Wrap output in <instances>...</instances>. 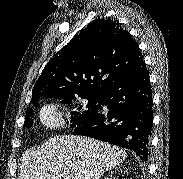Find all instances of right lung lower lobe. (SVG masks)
Returning a JSON list of instances; mask_svg holds the SVG:
<instances>
[{
  "mask_svg": "<svg viewBox=\"0 0 183 179\" xmlns=\"http://www.w3.org/2000/svg\"><path fill=\"white\" fill-rule=\"evenodd\" d=\"M99 104L108 113H97L74 135H83L133 150L147 161L153 124L152 88L145 63L133 74L107 86L99 94Z\"/></svg>",
  "mask_w": 183,
  "mask_h": 179,
  "instance_id": "1",
  "label": "right lung lower lobe"
}]
</instances>
